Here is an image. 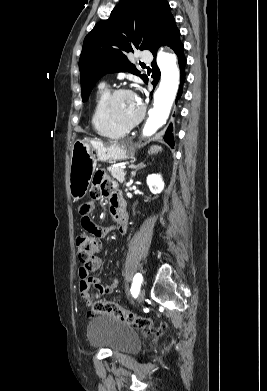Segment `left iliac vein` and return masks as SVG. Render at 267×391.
Segmentation results:
<instances>
[{"label":"left iliac vein","mask_w":267,"mask_h":391,"mask_svg":"<svg viewBox=\"0 0 267 391\" xmlns=\"http://www.w3.org/2000/svg\"><path fill=\"white\" fill-rule=\"evenodd\" d=\"M145 298V290L141 289L138 296H137V302L141 303Z\"/></svg>","instance_id":"left-iliac-vein-1"}]
</instances>
